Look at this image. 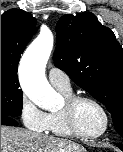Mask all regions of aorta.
Returning <instances> with one entry per match:
<instances>
[{
  "mask_svg": "<svg viewBox=\"0 0 123 152\" xmlns=\"http://www.w3.org/2000/svg\"><path fill=\"white\" fill-rule=\"evenodd\" d=\"M53 35L42 30L28 46L20 62V83L25 95L44 110H53L59 97L45 77V67L53 49Z\"/></svg>",
  "mask_w": 123,
  "mask_h": 152,
  "instance_id": "1",
  "label": "aorta"
}]
</instances>
